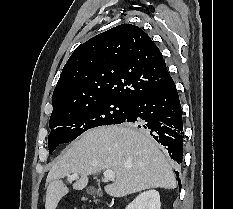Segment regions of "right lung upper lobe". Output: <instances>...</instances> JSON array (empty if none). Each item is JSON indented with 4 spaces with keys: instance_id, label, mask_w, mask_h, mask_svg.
<instances>
[{
    "instance_id": "right-lung-upper-lobe-1",
    "label": "right lung upper lobe",
    "mask_w": 233,
    "mask_h": 209,
    "mask_svg": "<svg viewBox=\"0 0 233 209\" xmlns=\"http://www.w3.org/2000/svg\"><path fill=\"white\" fill-rule=\"evenodd\" d=\"M169 77L151 38L135 25L121 24L74 50L54 89L52 114L102 99L132 102L160 87Z\"/></svg>"
}]
</instances>
